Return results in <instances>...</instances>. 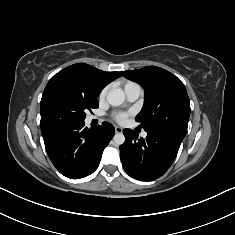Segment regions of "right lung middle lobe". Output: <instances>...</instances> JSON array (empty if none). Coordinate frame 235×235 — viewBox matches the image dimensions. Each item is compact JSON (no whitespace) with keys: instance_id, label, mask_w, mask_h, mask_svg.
<instances>
[{"instance_id":"obj_1","label":"right lung middle lobe","mask_w":235,"mask_h":235,"mask_svg":"<svg viewBox=\"0 0 235 235\" xmlns=\"http://www.w3.org/2000/svg\"><path fill=\"white\" fill-rule=\"evenodd\" d=\"M98 107V101L89 100L62 80H50L40 103L41 126L80 123L86 111Z\"/></svg>"}]
</instances>
